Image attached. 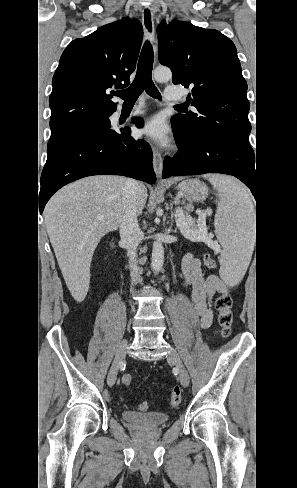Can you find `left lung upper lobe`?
Returning a JSON list of instances; mask_svg holds the SVG:
<instances>
[{
    "label": "left lung upper lobe",
    "instance_id": "5c2ea615",
    "mask_svg": "<svg viewBox=\"0 0 297 488\" xmlns=\"http://www.w3.org/2000/svg\"><path fill=\"white\" fill-rule=\"evenodd\" d=\"M157 32L160 63L172 70L174 84L192 88L187 99L197 109L172 117L180 135L250 146L247 83L234 43L217 30L187 22L162 21Z\"/></svg>",
    "mask_w": 297,
    "mask_h": 488
}]
</instances>
